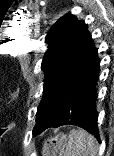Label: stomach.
<instances>
[{
  "label": "stomach",
  "instance_id": "0dacf381",
  "mask_svg": "<svg viewBox=\"0 0 114 156\" xmlns=\"http://www.w3.org/2000/svg\"><path fill=\"white\" fill-rule=\"evenodd\" d=\"M70 142L71 134L56 132L44 141L42 156H66Z\"/></svg>",
  "mask_w": 114,
  "mask_h": 156
}]
</instances>
